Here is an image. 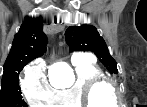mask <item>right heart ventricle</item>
<instances>
[{
	"mask_svg": "<svg viewBox=\"0 0 147 107\" xmlns=\"http://www.w3.org/2000/svg\"><path fill=\"white\" fill-rule=\"evenodd\" d=\"M76 79L74 83L63 89L55 90L51 107H84L81 102V88L91 77L102 74L101 69L92 60L82 59L73 61Z\"/></svg>",
	"mask_w": 147,
	"mask_h": 107,
	"instance_id": "e07e8e85",
	"label": "right heart ventricle"
}]
</instances>
